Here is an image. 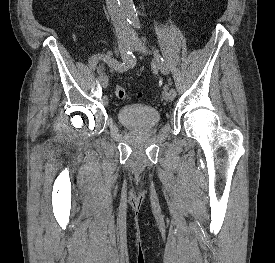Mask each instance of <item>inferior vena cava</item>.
Here are the masks:
<instances>
[{"mask_svg":"<svg viewBox=\"0 0 275 263\" xmlns=\"http://www.w3.org/2000/svg\"><path fill=\"white\" fill-rule=\"evenodd\" d=\"M119 0H106L108 12L115 27L117 34L128 33L131 31L130 25L118 4Z\"/></svg>","mask_w":275,"mask_h":263,"instance_id":"602c4592","label":"inferior vena cava"}]
</instances>
